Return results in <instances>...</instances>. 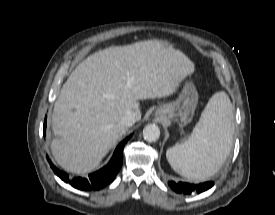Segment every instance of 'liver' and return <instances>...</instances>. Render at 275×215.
Listing matches in <instances>:
<instances>
[{
    "label": "liver",
    "mask_w": 275,
    "mask_h": 215,
    "mask_svg": "<svg viewBox=\"0 0 275 215\" xmlns=\"http://www.w3.org/2000/svg\"><path fill=\"white\" fill-rule=\"evenodd\" d=\"M194 63L159 40L114 46L88 56L64 83L52 115V154L66 171L96 168L128 127L127 111L141 119L139 100L175 93Z\"/></svg>",
    "instance_id": "1"
}]
</instances>
